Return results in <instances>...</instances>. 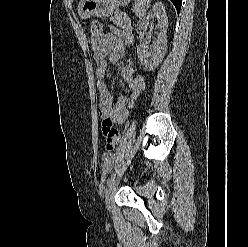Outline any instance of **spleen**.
I'll return each instance as SVG.
<instances>
[{"mask_svg": "<svg viewBox=\"0 0 248 247\" xmlns=\"http://www.w3.org/2000/svg\"><path fill=\"white\" fill-rule=\"evenodd\" d=\"M151 0H135L134 12L137 17H143L150 5Z\"/></svg>", "mask_w": 248, "mask_h": 247, "instance_id": "spleen-1", "label": "spleen"}]
</instances>
